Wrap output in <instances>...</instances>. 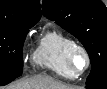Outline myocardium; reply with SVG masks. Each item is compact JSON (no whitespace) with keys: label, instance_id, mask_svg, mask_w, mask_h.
<instances>
[{"label":"myocardium","instance_id":"obj_1","mask_svg":"<svg viewBox=\"0 0 107 89\" xmlns=\"http://www.w3.org/2000/svg\"><path fill=\"white\" fill-rule=\"evenodd\" d=\"M77 54H80L84 58V67L81 70H76L74 67V58ZM66 63L69 68V70L73 73L75 77L82 75L84 72H86L91 64V59L89 56L88 51L79 44H73L67 51L66 55Z\"/></svg>","mask_w":107,"mask_h":89}]
</instances>
